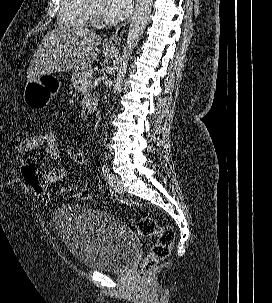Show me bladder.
Segmentation results:
<instances>
[{
  "label": "bladder",
  "mask_w": 272,
  "mask_h": 303,
  "mask_svg": "<svg viewBox=\"0 0 272 303\" xmlns=\"http://www.w3.org/2000/svg\"><path fill=\"white\" fill-rule=\"evenodd\" d=\"M54 221L64 245L86 268L122 271L136 254L137 235L109 213L70 203L57 209Z\"/></svg>",
  "instance_id": "bladder-1"
}]
</instances>
